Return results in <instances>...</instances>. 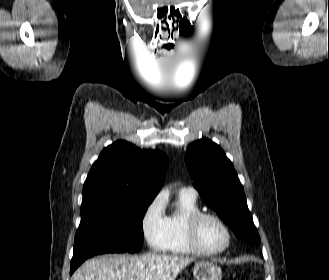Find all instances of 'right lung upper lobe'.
<instances>
[{
  "mask_svg": "<svg viewBox=\"0 0 329 280\" xmlns=\"http://www.w3.org/2000/svg\"><path fill=\"white\" fill-rule=\"evenodd\" d=\"M167 156L116 141L101 152L83 187L82 207L117 197L155 198L164 182Z\"/></svg>",
  "mask_w": 329,
  "mask_h": 280,
  "instance_id": "obj_1",
  "label": "right lung upper lobe"
}]
</instances>
